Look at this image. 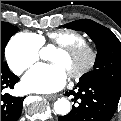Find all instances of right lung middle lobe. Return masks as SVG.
I'll return each mask as SVG.
<instances>
[{"instance_id": "dd1d6c3e", "label": "right lung middle lobe", "mask_w": 121, "mask_h": 121, "mask_svg": "<svg viewBox=\"0 0 121 121\" xmlns=\"http://www.w3.org/2000/svg\"><path fill=\"white\" fill-rule=\"evenodd\" d=\"M17 30V27L1 21V65L7 64L3 62L5 46L7 45L11 36L17 32Z\"/></svg>"}]
</instances>
